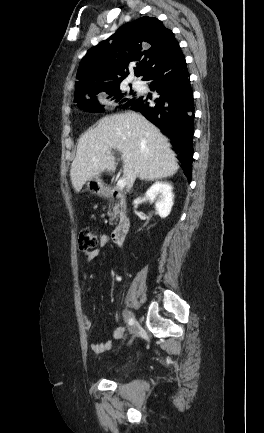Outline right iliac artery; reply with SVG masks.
Returning a JSON list of instances; mask_svg holds the SVG:
<instances>
[{"mask_svg":"<svg viewBox=\"0 0 264 433\" xmlns=\"http://www.w3.org/2000/svg\"><path fill=\"white\" fill-rule=\"evenodd\" d=\"M133 323H134L133 318H132V317H129V318H128V324H129V325H133Z\"/></svg>","mask_w":264,"mask_h":433,"instance_id":"82829eb1","label":"right iliac artery"}]
</instances>
